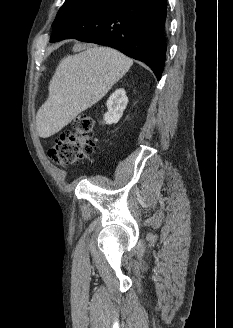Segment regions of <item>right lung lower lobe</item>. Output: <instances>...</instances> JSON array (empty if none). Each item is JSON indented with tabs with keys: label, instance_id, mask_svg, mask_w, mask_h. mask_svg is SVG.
I'll list each match as a JSON object with an SVG mask.
<instances>
[{
	"label": "right lung lower lobe",
	"instance_id": "obj_1",
	"mask_svg": "<svg viewBox=\"0 0 233 328\" xmlns=\"http://www.w3.org/2000/svg\"><path fill=\"white\" fill-rule=\"evenodd\" d=\"M166 0H94L53 24L51 42L75 38L145 62L158 80L166 56Z\"/></svg>",
	"mask_w": 233,
	"mask_h": 328
}]
</instances>
